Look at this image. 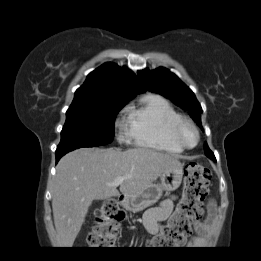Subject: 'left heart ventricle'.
<instances>
[{"label":"left heart ventricle","mask_w":261,"mask_h":261,"mask_svg":"<svg viewBox=\"0 0 261 261\" xmlns=\"http://www.w3.org/2000/svg\"><path fill=\"white\" fill-rule=\"evenodd\" d=\"M186 140L189 144H193L195 141V136L192 131H186Z\"/></svg>","instance_id":"obj_1"}]
</instances>
